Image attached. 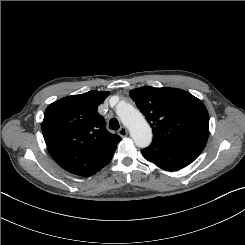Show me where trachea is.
Wrapping results in <instances>:
<instances>
[{
  "instance_id": "1",
  "label": "trachea",
  "mask_w": 245,
  "mask_h": 245,
  "mask_svg": "<svg viewBox=\"0 0 245 245\" xmlns=\"http://www.w3.org/2000/svg\"><path fill=\"white\" fill-rule=\"evenodd\" d=\"M109 128L112 130H118L120 128V124L116 118H112L109 121Z\"/></svg>"
}]
</instances>
